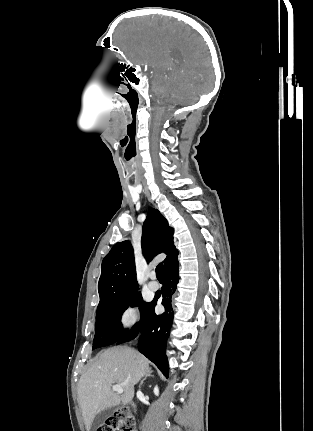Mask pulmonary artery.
I'll return each mask as SVG.
<instances>
[{
	"instance_id": "obj_1",
	"label": "pulmonary artery",
	"mask_w": 313,
	"mask_h": 431,
	"mask_svg": "<svg viewBox=\"0 0 313 431\" xmlns=\"http://www.w3.org/2000/svg\"><path fill=\"white\" fill-rule=\"evenodd\" d=\"M148 286L153 291L159 289V283L155 280V274H151V281L149 282Z\"/></svg>"
}]
</instances>
